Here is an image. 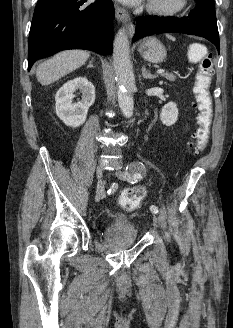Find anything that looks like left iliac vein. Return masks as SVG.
<instances>
[{"mask_svg": "<svg viewBox=\"0 0 233 328\" xmlns=\"http://www.w3.org/2000/svg\"><path fill=\"white\" fill-rule=\"evenodd\" d=\"M134 166L130 165L129 169L126 171L118 170L116 171V176L121 180L131 181L132 180V173L134 172ZM154 223L158 222V217L154 215L153 217Z\"/></svg>", "mask_w": 233, "mask_h": 328, "instance_id": "left-iliac-vein-1", "label": "left iliac vein"}]
</instances>
